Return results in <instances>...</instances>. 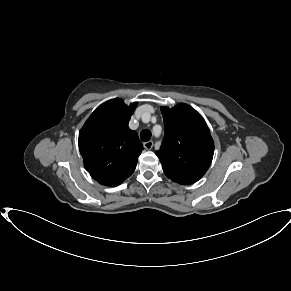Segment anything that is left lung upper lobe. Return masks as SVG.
Here are the masks:
<instances>
[{
    "label": "left lung upper lobe",
    "instance_id": "left-lung-upper-lobe-1",
    "mask_svg": "<svg viewBox=\"0 0 291 291\" xmlns=\"http://www.w3.org/2000/svg\"><path fill=\"white\" fill-rule=\"evenodd\" d=\"M165 137L156 152L165 175L178 184H192L208 170L214 142L203 117L181 103L172 109L162 107Z\"/></svg>",
    "mask_w": 291,
    "mask_h": 291
}]
</instances>
